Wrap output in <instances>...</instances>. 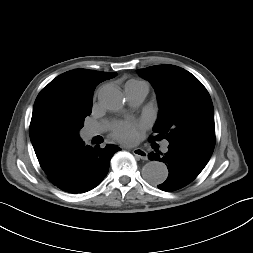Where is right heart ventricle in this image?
Returning a JSON list of instances; mask_svg holds the SVG:
<instances>
[{
  "label": "right heart ventricle",
  "mask_w": 253,
  "mask_h": 253,
  "mask_svg": "<svg viewBox=\"0 0 253 253\" xmlns=\"http://www.w3.org/2000/svg\"><path fill=\"white\" fill-rule=\"evenodd\" d=\"M134 84H146V83L143 82V81H139V80L132 79V80H129V81L126 83L125 87H126V86H129V85H134Z\"/></svg>",
  "instance_id": "1"
}]
</instances>
